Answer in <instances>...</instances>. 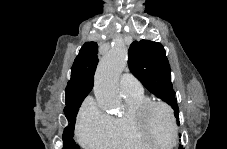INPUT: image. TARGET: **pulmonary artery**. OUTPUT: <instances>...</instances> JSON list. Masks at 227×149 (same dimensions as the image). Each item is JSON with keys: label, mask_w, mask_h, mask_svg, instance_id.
Wrapping results in <instances>:
<instances>
[{"label": "pulmonary artery", "mask_w": 227, "mask_h": 149, "mask_svg": "<svg viewBox=\"0 0 227 149\" xmlns=\"http://www.w3.org/2000/svg\"><path fill=\"white\" fill-rule=\"evenodd\" d=\"M120 88L123 95L143 92L141 83L131 74H123L120 78Z\"/></svg>", "instance_id": "e3ab8cb5"}]
</instances>
